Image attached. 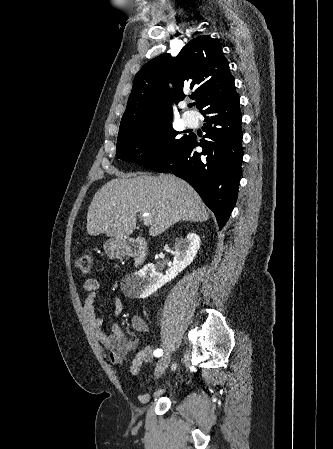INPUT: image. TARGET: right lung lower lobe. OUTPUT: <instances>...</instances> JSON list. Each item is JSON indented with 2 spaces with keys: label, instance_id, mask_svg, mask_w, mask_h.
Wrapping results in <instances>:
<instances>
[{
  "label": "right lung lower lobe",
  "instance_id": "right-lung-lower-lobe-1",
  "mask_svg": "<svg viewBox=\"0 0 333 449\" xmlns=\"http://www.w3.org/2000/svg\"><path fill=\"white\" fill-rule=\"evenodd\" d=\"M201 114L206 139H188L153 170L172 172L187 181L214 212L221 228L227 222L238 196L243 157L242 115L235 92L217 98ZM197 146L202 152H196Z\"/></svg>",
  "mask_w": 333,
  "mask_h": 449
}]
</instances>
